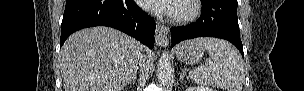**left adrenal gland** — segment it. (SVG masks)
Here are the masks:
<instances>
[{"instance_id": "a2214340", "label": "left adrenal gland", "mask_w": 304, "mask_h": 91, "mask_svg": "<svg viewBox=\"0 0 304 91\" xmlns=\"http://www.w3.org/2000/svg\"><path fill=\"white\" fill-rule=\"evenodd\" d=\"M184 78H186L187 80L189 79V78L186 76V71H185V70H182V74L180 75V80H183Z\"/></svg>"}]
</instances>
